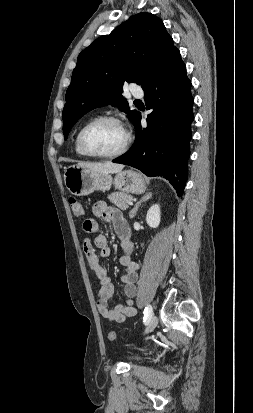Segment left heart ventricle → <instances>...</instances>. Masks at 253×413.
<instances>
[{
	"mask_svg": "<svg viewBox=\"0 0 253 413\" xmlns=\"http://www.w3.org/2000/svg\"><path fill=\"white\" fill-rule=\"evenodd\" d=\"M124 131L116 124L102 122L92 126L86 133L87 147L95 153H112L121 148Z\"/></svg>",
	"mask_w": 253,
	"mask_h": 413,
	"instance_id": "b2bd125f",
	"label": "left heart ventricle"
}]
</instances>
